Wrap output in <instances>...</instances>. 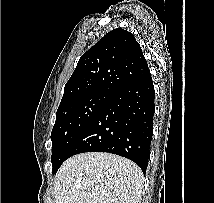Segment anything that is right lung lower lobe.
<instances>
[{
  "instance_id": "right-lung-lower-lobe-1",
  "label": "right lung lower lobe",
  "mask_w": 214,
  "mask_h": 203,
  "mask_svg": "<svg viewBox=\"0 0 214 203\" xmlns=\"http://www.w3.org/2000/svg\"><path fill=\"white\" fill-rule=\"evenodd\" d=\"M154 93L149 74L111 94L91 125L74 143L68 158L84 152L113 153L132 160L145 174L153 134Z\"/></svg>"
}]
</instances>
